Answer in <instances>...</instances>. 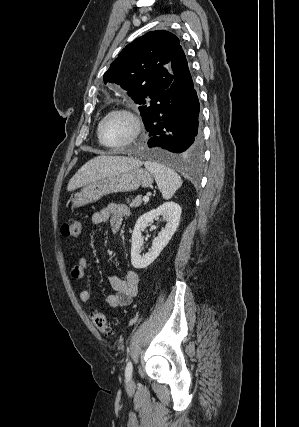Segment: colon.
Returning a JSON list of instances; mask_svg holds the SVG:
<instances>
[{
    "label": "colon",
    "instance_id": "5ec220e1",
    "mask_svg": "<svg viewBox=\"0 0 299 427\" xmlns=\"http://www.w3.org/2000/svg\"><path fill=\"white\" fill-rule=\"evenodd\" d=\"M61 233L67 237H78L82 233V223L79 220H72L61 226ZM92 321L98 331L106 337L113 334L112 328L107 317L101 312L91 314Z\"/></svg>",
    "mask_w": 299,
    "mask_h": 427
}]
</instances>
